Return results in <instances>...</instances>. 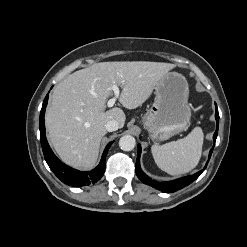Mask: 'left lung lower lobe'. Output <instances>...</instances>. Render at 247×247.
I'll return each instance as SVG.
<instances>
[{"label": "left lung lower lobe", "instance_id": "1", "mask_svg": "<svg viewBox=\"0 0 247 247\" xmlns=\"http://www.w3.org/2000/svg\"><path fill=\"white\" fill-rule=\"evenodd\" d=\"M215 118L217 121V129L214 133L213 136V140L214 142L216 141L217 138V134H218V124H219V114H218V109L216 106V114H215ZM214 146L211 148L210 153H209V159L211 157L212 151H213ZM140 154H141V146L138 145V156H137V161H136V174L138 176V178L147 185H150L156 189H158L159 191L165 192V193H170V192H174L177 191L185 186H187L188 184L192 183L194 180H196L198 178V176L203 172V170H205L206 166L204 167L203 170L197 172L194 175L191 176H186L183 178H179L173 181H168V182H157L155 180H152L150 177H148L142 170L140 167Z\"/></svg>", "mask_w": 247, "mask_h": 247}]
</instances>
